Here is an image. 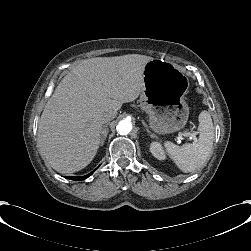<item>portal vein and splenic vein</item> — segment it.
<instances>
[{
  "instance_id": "portal-vein-and-splenic-vein-1",
  "label": "portal vein and splenic vein",
  "mask_w": 251,
  "mask_h": 251,
  "mask_svg": "<svg viewBox=\"0 0 251 251\" xmlns=\"http://www.w3.org/2000/svg\"><path fill=\"white\" fill-rule=\"evenodd\" d=\"M191 135V137H190ZM183 136H187L188 139H192L195 140L196 139V133L195 132H178V137H177V141L180 142L181 140L185 139Z\"/></svg>"
}]
</instances>
